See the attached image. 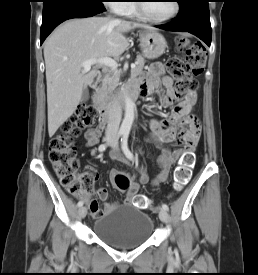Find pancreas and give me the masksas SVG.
Masks as SVG:
<instances>
[{"instance_id":"1","label":"pancreas","mask_w":258,"mask_h":275,"mask_svg":"<svg viewBox=\"0 0 258 275\" xmlns=\"http://www.w3.org/2000/svg\"><path fill=\"white\" fill-rule=\"evenodd\" d=\"M145 64L143 56L138 55L136 58V67L131 69V76L136 77L142 73ZM119 84V76L108 73L102 80L100 87L96 89V97L103 102H108Z\"/></svg>"}]
</instances>
